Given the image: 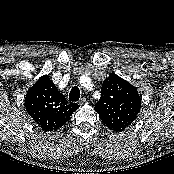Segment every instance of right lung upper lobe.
<instances>
[{"label":"right lung upper lobe","mask_w":174,"mask_h":174,"mask_svg":"<svg viewBox=\"0 0 174 174\" xmlns=\"http://www.w3.org/2000/svg\"><path fill=\"white\" fill-rule=\"evenodd\" d=\"M24 102L28 114L44 131L59 129L79 108L78 104L66 101L48 75L40 77L28 90Z\"/></svg>","instance_id":"cb5924a9"}]
</instances>
